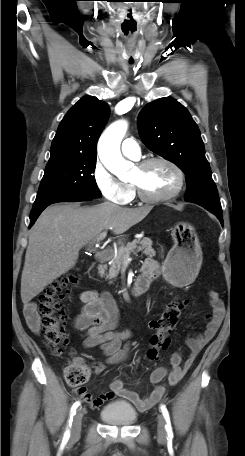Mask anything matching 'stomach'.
I'll return each instance as SVG.
<instances>
[{
	"label": "stomach",
	"instance_id": "stomach-1",
	"mask_svg": "<svg viewBox=\"0 0 245 456\" xmlns=\"http://www.w3.org/2000/svg\"><path fill=\"white\" fill-rule=\"evenodd\" d=\"M171 235L174 245L164 260L163 274L175 286L187 285L194 280L201 266L202 250L199 239L195 228L186 222L174 225Z\"/></svg>",
	"mask_w": 245,
	"mask_h": 456
}]
</instances>
